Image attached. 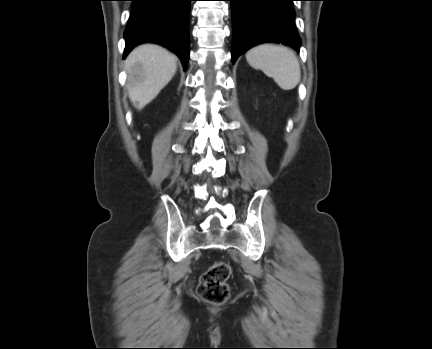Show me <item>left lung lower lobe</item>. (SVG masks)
Segmentation results:
<instances>
[{
  "instance_id": "obj_1",
  "label": "left lung lower lobe",
  "mask_w": 432,
  "mask_h": 349,
  "mask_svg": "<svg viewBox=\"0 0 432 349\" xmlns=\"http://www.w3.org/2000/svg\"><path fill=\"white\" fill-rule=\"evenodd\" d=\"M233 18V63L261 43H283L299 51L294 0H229Z\"/></svg>"
}]
</instances>
